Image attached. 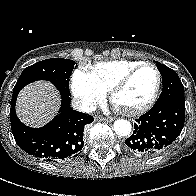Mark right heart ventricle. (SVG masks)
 I'll use <instances>...</instances> for the list:
<instances>
[{
	"instance_id": "right-heart-ventricle-1",
	"label": "right heart ventricle",
	"mask_w": 196,
	"mask_h": 196,
	"mask_svg": "<svg viewBox=\"0 0 196 196\" xmlns=\"http://www.w3.org/2000/svg\"><path fill=\"white\" fill-rule=\"evenodd\" d=\"M141 63L143 62L135 60L99 62L90 68L89 73L103 90L110 91L119 78Z\"/></svg>"
}]
</instances>
